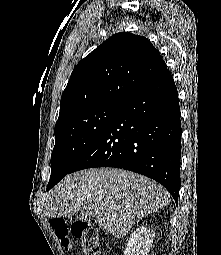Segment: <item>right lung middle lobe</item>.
Segmentation results:
<instances>
[{
  "instance_id": "obj_1",
  "label": "right lung middle lobe",
  "mask_w": 221,
  "mask_h": 255,
  "mask_svg": "<svg viewBox=\"0 0 221 255\" xmlns=\"http://www.w3.org/2000/svg\"><path fill=\"white\" fill-rule=\"evenodd\" d=\"M120 103H104L76 111L55 125L51 177L47 189L57 184L99 137Z\"/></svg>"
}]
</instances>
